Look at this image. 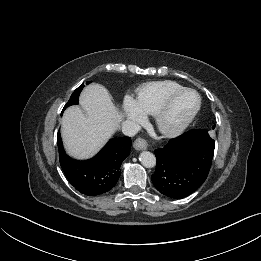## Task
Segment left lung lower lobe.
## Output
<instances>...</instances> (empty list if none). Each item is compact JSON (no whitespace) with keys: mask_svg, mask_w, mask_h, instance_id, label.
<instances>
[{"mask_svg":"<svg viewBox=\"0 0 261 261\" xmlns=\"http://www.w3.org/2000/svg\"><path fill=\"white\" fill-rule=\"evenodd\" d=\"M215 141L206 130H190L170 139L154 151L155 188L169 198L181 199L195 192L206 180L214 155Z\"/></svg>","mask_w":261,"mask_h":261,"instance_id":"left-lung-lower-lobe-1","label":"left lung lower lobe"}]
</instances>
